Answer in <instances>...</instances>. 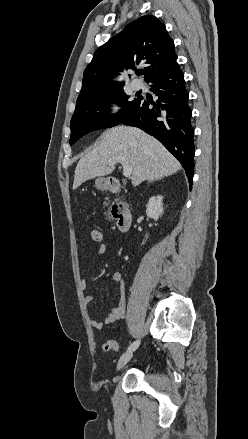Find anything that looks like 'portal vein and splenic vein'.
Masks as SVG:
<instances>
[{
	"label": "portal vein and splenic vein",
	"mask_w": 248,
	"mask_h": 439,
	"mask_svg": "<svg viewBox=\"0 0 248 439\" xmlns=\"http://www.w3.org/2000/svg\"><path fill=\"white\" fill-rule=\"evenodd\" d=\"M116 163H121L123 166V175L125 177H130L132 174V166L124 158H117L114 160H109L108 165H114Z\"/></svg>",
	"instance_id": "obj_1"
}]
</instances>
